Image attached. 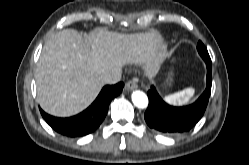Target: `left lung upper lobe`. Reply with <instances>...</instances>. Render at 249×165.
<instances>
[{"label": "left lung upper lobe", "mask_w": 249, "mask_h": 165, "mask_svg": "<svg viewBox=\"0 0 249 165\" xmlns=\"http://www.w3.org/2000/svg\"><path fill=\"white\" fill-rule=\"evenodd\" d=\"M197 50L205 62L211 63V59H210V56L208 54V51L201 41L198 42Z\"/></svg>", "instance_id": "left-lung-upper-lobe-1"}]
</instances>
